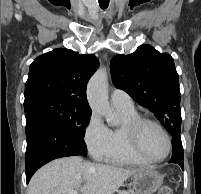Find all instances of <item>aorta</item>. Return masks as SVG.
Instances as JSON below:
<instances>
[{
    "instance_id": "1",
    "label": "aorta",
    "mask_w": 201,
    "mask_h": 194,
    "mask_svg": "<svg viewBox=\"0 0 201 194\" xmlns=\"http://www.w3.org/2000/svg\"><path fill=\"white\" fill-rule=\"evenodd\" d=\"M87 98L91 109L104 116L107 123L115 121V113L108 102L107 71L99 69L89 80Z\"/></svg>"
}]
</instances>
